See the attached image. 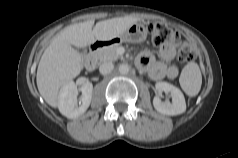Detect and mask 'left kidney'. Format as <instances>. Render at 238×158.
<instances>
[{
  "label": "left kidney",
  "mask_w": 238,
  "mask_h": 158,
  "mask_svg": "<svg viewBox=\"0 0 238 158\" xmlns=\"http://www.w3.org/2000/svg\"><path fill=\"white\" fill-rule=\"evenodd\" d=\"M155 87L159 94L165 92L172 97V103L163 102L158 95L154 97L153 106L159 113L174 116L186 111L185 98L180 89L167 82H157Z\"/></svg>",
  "instance_id": "1"
}]
</instances>
